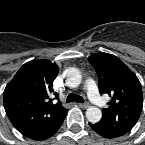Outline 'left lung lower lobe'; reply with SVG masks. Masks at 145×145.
<instances>
[{
    "label": "left lung lower lobe",
    "instance_id": "left-lung-lower-lobe-1",
    "mask_svg": "<svg viewBox=\"0 0 145 145\" xmlns=\"http://www.w3.org/2000/svg\"><path fill=\"white\" fill-rule=\"evenodd\" d=\"M90 126L97 134H99L100 136H102L104 138H116L119 136V135H116V134L100 127L97 124H90Z\"/></svg>",
    "mask_w": 145,
    "mask_h": 145
}]
</instances>
